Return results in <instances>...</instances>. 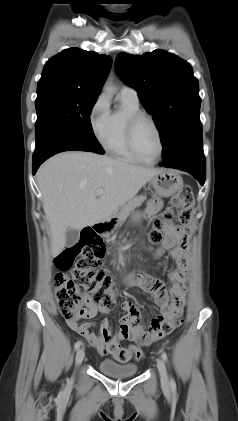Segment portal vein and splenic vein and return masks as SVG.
Masks as SVG:
<instances>
[{"instance_id":"portal-vein-and-splenic-vein-1","label":"portal vein and splenic vein","mask_w":238,"mask_h":421,"mask_svg":"<svg viewBox=\"0 0 238 421\" xmlns=\"http://www.w3.org/2000/svg\"><path fill=\"white\" fill-rule=\"evenodd\" d=\"M96 194H97L98 196H101V195L103 194V190H102V189L97 190V191H96Z\"/></svg>"}]
</instances>
